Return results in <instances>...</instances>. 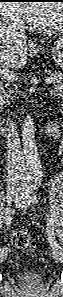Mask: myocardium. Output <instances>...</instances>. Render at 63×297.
I'll return each mask as SVG.
<instances>
[{"mask_svg": "<svg viewBox=\"0 0 63 297\" xmlns=\"http://www.w3.org/2000/svg\"><path fill=\"white\" fill-rule=\"evenodd\" d=\"M59 9H60V21H59L58 25L49 26V25H45L43 23L33 22L34 27L42 32L49 33V34L61 33L63 30V7H62V5H59Z\"/></svg>", "mask_w": 63, "mask_h": 297, "instance_id": "obj_1", "label": "myocardium"}]
</instances>
